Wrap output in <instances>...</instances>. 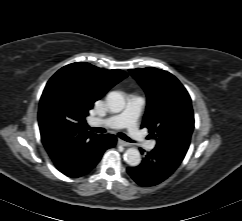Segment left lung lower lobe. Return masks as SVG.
<instances>
[{"mask_svg":"<svg viewBox=\"0 0 242 221\" xmlns=\"http://www.w3.org/2000/svg\"><path fill=\"white\" fill-rule=\"evenodd\" d=\"M144 153L143 149H140ZM182 158L170 151L155 147L147 152L137 167L127 168L132 179L143 187L154 186L167 179L180 165Z\"/></svg>","mask_w":242,"mask_h":221,"instance_id":"left-lung-lower-lobe-1","label":"left lung lower lobe"}]
</instances>
